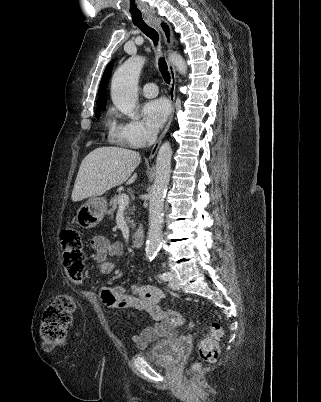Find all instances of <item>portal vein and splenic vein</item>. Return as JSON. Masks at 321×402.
Segmentation results:
<instances>
[{"label": "portal vein and splenic vein", "mask_w": 321, "mask_h": 402, "mask_svg": "<svg viewBox=\"0 0 321 402\" xmlns=\"http://www.w3.org/2000/svg\"><path fill=\"white\" fill-rule=\"evenodd\" d=\"M119 207H125L129 204V197L127 194H121L118 200Z\"/></svg>", "instance_id": "obj_1"}]
</instances>
